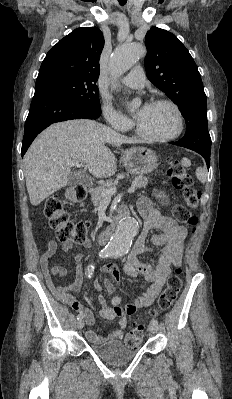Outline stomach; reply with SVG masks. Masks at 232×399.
Wrapping results in <instances>:
<instances>
[{
  "mask_svg": "<svg viewBox=\"0 0 232 399\" xmlns=\"http://www.w3.org/2000/svg\"><path fill=\"white\" fill-rule=\"evenodd\" d=\"M121 162L133 176L148 174L159 166L157 154L154 150H147V148H129L124 152Z\"/></svg>",
  "mask_w": 232,
  "mask_h": 399,
  "instance_id": "1",
  "label": "stomach"
}]
</instances>
